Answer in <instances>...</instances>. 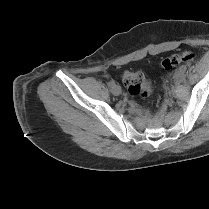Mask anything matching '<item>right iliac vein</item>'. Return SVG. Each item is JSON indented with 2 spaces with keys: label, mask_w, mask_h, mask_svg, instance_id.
<instances>
[{
  "label": "right iliac vein",
  "mask_w": 209,
  "mask_h": 209,
  "mask_svg": "<svg viewBox=\"0 0 209 209\" xmlns=\"http://www.w3.org/2000/svg\"><path fill=\"white\" fill-rule=\"evenodd\" d=\"M111 92L114 94V95H119L121 94V87L119 85H114L111 89Z\"/></svg>",
  "instance_id": "63e3f726"
}]
</instances>
